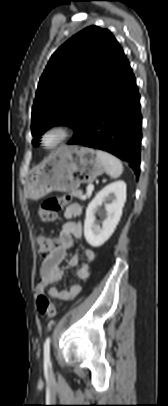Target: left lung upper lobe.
<instances>
[{
	"instance_id": "obj_1",
	"label": "left lung upper lobe",
	"mask_w": 168,
	"mask_h": 406,
	"mask_svg": "<svg viewBox=\"0 0 168 406\" xmlns=\"http://www.w3.org/2000/svg\"><path fill=\"white\" fill-rule=\"evenodd\" d=\"M124 56L107 29L89 26L67 40L50 58L32 108L33 145L54 125H69L74 136Z\"/></svg>"
}]
</instances>
